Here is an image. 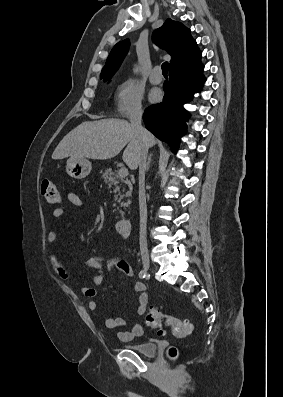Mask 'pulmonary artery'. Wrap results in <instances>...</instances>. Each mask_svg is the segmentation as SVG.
<instances>
[{"instance_id":"e3ab8cb5","label":"pulmonary artery","mask_w":283,"mask_h":397,"mask_svg":"<svg viewBox=\"0 0 283 397\" xmlns=\"http://www.w3.org/2000/svg\"><path fill=\"white\" fill-rule=\"evenodd\" d=\"M149 79L153 84H159L162 81L161 68L159 66H155L152 69Z\"/></svg>"}]
</instances>
